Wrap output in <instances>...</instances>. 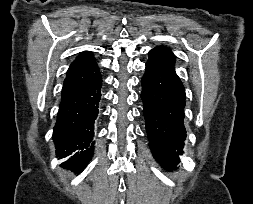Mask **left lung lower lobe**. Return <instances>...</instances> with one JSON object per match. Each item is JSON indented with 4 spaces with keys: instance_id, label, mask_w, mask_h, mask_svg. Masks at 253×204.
<instances>
[{
    "instance_id": "left-lung-lower-lobe-1",
    "label": "left lung lower lobe",
    "mask_w": 253,
    "mask_h": 204,
    "mask_svg": "<svg viewBox=\"0 0 253 204\" xmlns=\"http://www.w3.org/2000/svg\"><path fill=\"white\" fill-rule=\"evenodd\" d=\"M175 55L166 47L149 52L146 71L141 79L143 114L150 148L160 164L171 169L183 153L185 88L177 76Z\"/></svg>"
}]
</instances>
